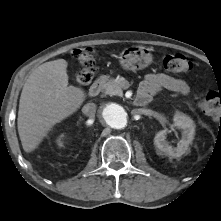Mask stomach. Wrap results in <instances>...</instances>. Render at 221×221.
<instances>
[{
  "mask_svg": "<svg viewBox=\"0 0 221 221\" xmlns=\"http://www.w3.org/2000/svg\"><path fill=\"white\" fill-rule=\"evenodd\" d=\"M119 62L124 70L137 71L150 65L152 55L148 48L129 47L122 51Z\"/></svg>",
  "mask_w": 221,
  "mask_h": 221,
  "instance_id": "1",
  "label": "stomach"
}]
</instances>
